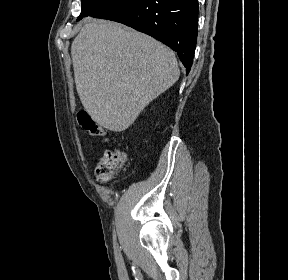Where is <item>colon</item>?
<instances>
[{"mask_svg": "<svg viewBox=\"0 0 288 280\" xmlns=\"http://www.w3.org/2000/svg\"><path fill=\"white\" fill-rule=\"evenodd\" d=\"M78 122L90 135L104 137L106 132L96 118L86 110L77 114ZM127 160V154L121 149H110L105 151L96 166V176L101 182L111 180L122 168Z\"/></svg>", "mask_w": 288, "mask_h": 280, "instance_id": "1", "label": "colon"}]
</instances>
